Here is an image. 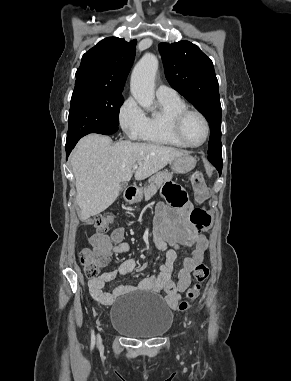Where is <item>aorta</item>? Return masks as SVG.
<instances>
[{
	"label": "aorta",
	"mask_w": 291,
	"mask_h": 381,
	"mask_svg": "<svg viewBox=\"0 0 291 381\" xmlns=\"http://www.w3.org/2000/svg\"><path fill=\"white\" fill-rule=\"evenodd\" d=\"M157 70V57L151 53H146L135 65L130 81V90L134 99L141 107L151 111L155 98L154 80Z\"/></svg>",
	"instance_id": "762f6f07"
}]
</instances>
